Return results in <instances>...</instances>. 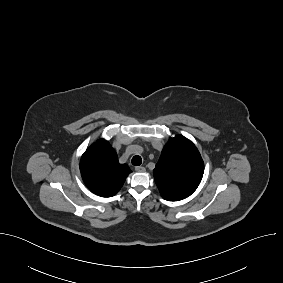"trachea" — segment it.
Masks as SVG:
<instances>
[{
    "label": "trachea",
    "mask_w": 283,
    "mask_h": 283,
    "mask_svg": "<svg viewBox=\"0 0 283 283\" xmlns=\"http://www.w3.org/2000/svg\"><path fill=\"white\" fill-rule=\"evenodd\" d=\"M131 162L134 166H140L142 163V158L139 155H136L132 158Z\"/></svg>",
    "instance_id": "trachea-1"
}]
</instances>
